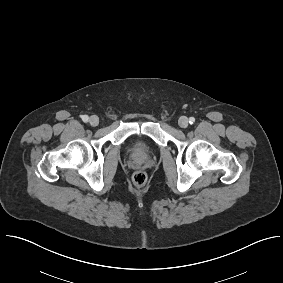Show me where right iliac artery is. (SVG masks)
<instances>
[{
	"mask_svg": "<svg viewBox=\"0 0 283 283\" xmlns=\"http://www.w3.org/2000/svg\"><path fill=\"white\" fill-rule=\"evenodd\" d=\"M82 120H83L84 122H88L89 117H88L87 115H83V116H82Z\"/></svg>",
	"mask_w": 283,
	"mask_h": 283,
	"instance_id": "right-iliac-artery-1",
	"label": "right iliac artery"
}]
</instances>
